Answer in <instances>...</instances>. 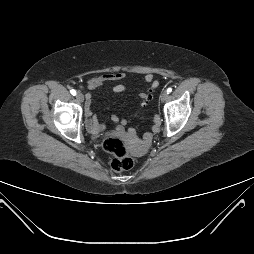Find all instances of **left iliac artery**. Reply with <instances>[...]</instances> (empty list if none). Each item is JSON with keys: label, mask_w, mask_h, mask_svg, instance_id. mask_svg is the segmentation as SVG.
<instances>
[{"label": "left iliac artery", "mask_w": 254, "mask_h": 254, "mask_svg": "<svg viewBox=\"0 0 254 254\" xmlns=\"http://www.w3.org/2000/svg\"><path fill=\"white\" fill-rule=\"evenodd\" d=\"M172 92V88H168L167 89V93L169 94V93H171Z\"/></svg>", "instance_id": "44dca946"}]
</instances>
